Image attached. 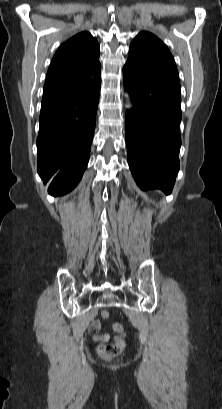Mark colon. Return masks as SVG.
Instances as JSON below:
<instances>
[{
  "instance_id": "1",
  "label": "colon",
  "mask_w": 222,
  "mask_h": 409,
  "mask_svg": "<svg viewBox=\"0 0 222 409\" xmlns=\"http://www.w3.org/2000/svg\"><path fill=\"white\" fill-rule=\"evenodd\" d=\"M102 317L107 319L109 317V313L107 311H103ZM112 330L115 333H121L122 327L120 324H114L112 326ZM124 349H125L124 339L120 336H116L114 339V342L108 343V344H101L98 347V352L102 358L106 360H110V359H113L119 356L123 352Z\"/></svg>"
}]
</instances>
